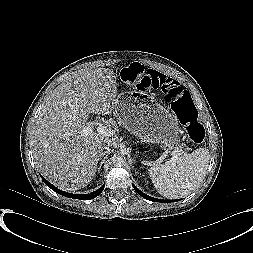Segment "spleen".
Returning a JSON list of instances; mask_svg holds the SVG:
<instances>
[{"instance_id":"3e777b00","label":"spleen","mask_w":253,"mask_h":253,"mask_svg":"<svg viewBox=\"0 0 253 253\" xmlns=\"http://www.w3.org/2000/svg\"><path fill=\"white\" fill-rule=\"evenodd\" d=\"M209 160V150L199 148L192 153L179 155L165 164L152 166L149 169V176L163 197L182 198L203 180Z\"/></svg>"}]
</instances>
